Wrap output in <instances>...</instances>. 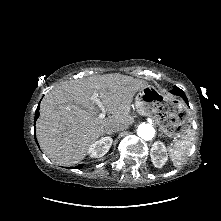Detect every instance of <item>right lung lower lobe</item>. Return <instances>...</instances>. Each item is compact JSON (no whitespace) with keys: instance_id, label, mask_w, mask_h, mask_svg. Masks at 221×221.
Here are the masks:
<instances>
[{"instance_id":"98d812e1","label":"right lung lower lobe","mask_w":221,"mask_h":221,"mask_svg":"<svg viewBox=\"0 0 221 221\" xmlns=\"http://www.w3.org/2000/svg\"><path fill=\"white\" fill-rule=\"evenodd\" d=\"M39 117V105H38V107H37V109H36V112H35V119H34V123H35V121L37 120V118ZM36 143H37V141H36ZM82 164H80V165H78V166H76L75 168L76 169H80V168H82Z\"/></svg>"}]
</instances>
